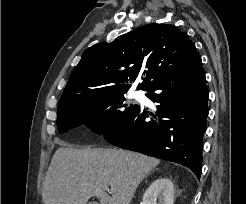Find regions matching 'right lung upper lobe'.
Here are the masks:
<instances>
[{
	"label": "right lung upper lobe",
	"mask_w": 246,
	"mask_h": 204,
	"mask_svg": "<svg viewBox=\"0 0 246 204\" xmlns=\"http://www.w3.org/2000/svg\"><path fill=\"white\" fill-rule=\"evenodd\" d=\"M200 59L195 45L173 25L149 24L84 51L59 100L126 93L141 73L147 90L168 74Z\"/></svg>",
	"instance_id": "right-lung-upper-lobe-1"
}]
</instances>
